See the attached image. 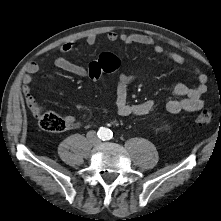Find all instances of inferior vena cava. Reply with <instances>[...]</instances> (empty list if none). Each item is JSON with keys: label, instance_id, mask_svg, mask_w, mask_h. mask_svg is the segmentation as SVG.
<instances>
[{"label": "inferior vena cava", "instance_id": "inferior-vena-cava-1", "mask_svg": "<svg viewBox=\"0 0 221 221\" xmlns=\"http://www.w3.org/2000/svg\"><path fill=\"white\" fill-rule=\"evenodd\" d=\"M87 137L93 144H97L99 142V139L94 131L88 132Z\"/></svg>", "mask_w": 221, "mask_h": 221}]
</instances>
